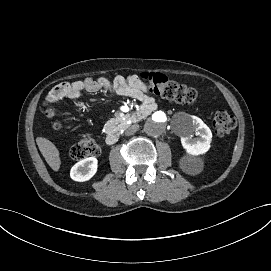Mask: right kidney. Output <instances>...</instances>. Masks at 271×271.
Masks as SVG:
<instances>
[{"label": "right kidney", "instance_id": "ca27d5eb", "mask_svg": "<svg viewBox=\"0 0 271 271\" xmlns=\"http://www.w3.org/2000/svg\"><path fill=\"white\" fill-rule=\"evenodd\" d=\"M97 171V159L85 158L77 162L70 170V177L74 181L84 182L91 179Z\"/></svg>", "mask_w": 271, "mask_h": 271}]
</instances>
